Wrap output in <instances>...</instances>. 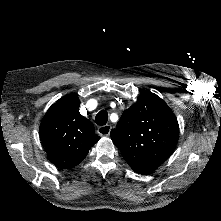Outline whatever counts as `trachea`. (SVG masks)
Masks as SVG:
<instances>
[{"label":"trachea","mask_w":221,"mask_h":221,"mask_svg":"<svg viewBox=\"0 0 221 221\" xmlns=\"http://www.w3.org/2000/svg\"><path fill=\"white\" fill-rule=\"evenodd\" d=\"M108 122V114L105 110H101L95 117V123L103 126Z\"/></svg>","instance_id":"3493384b"}]
</instances>
